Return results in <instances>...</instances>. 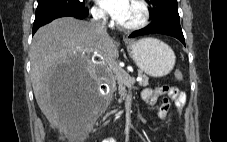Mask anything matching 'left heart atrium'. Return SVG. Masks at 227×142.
<instances>
[{"mask_svg": "<svg viewBox=\"0 0 227 142\" xmlns=\"http://www.w3.org/2000/svg\"><path fill=\"white\" fill-rule=\"evenodd\" d=\"M130 0H97V3L116 21L126 13Z\"/></svg>", "mask_w": 227, "mask_h": 142, "instance_id": "left-heart-atrium-1", "label": "left heart atrium"}]
</instances>
